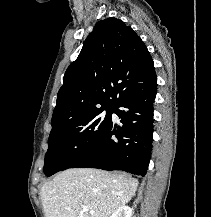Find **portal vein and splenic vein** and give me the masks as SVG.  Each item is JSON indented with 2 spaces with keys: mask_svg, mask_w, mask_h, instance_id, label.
Masks as SVG:
<instances>
[{
  "mask_svg": "<svg viewBox=\"0 0 211 217\" xmlns=\"http://www.w3.org/2000/svg\"><path fill=\"white\" fill-rule=\"evenodd\" d=\"M82 208H83V211H88L89 210L88 207H86V206H83Z\"/></svg>",
  "mask_w": 211,
  "mask_h": 217,
  "instance_id": "portal-vein-and-splenic-vein-1",
  "label": "portal vein and splenic vein"
}]
</instances>
